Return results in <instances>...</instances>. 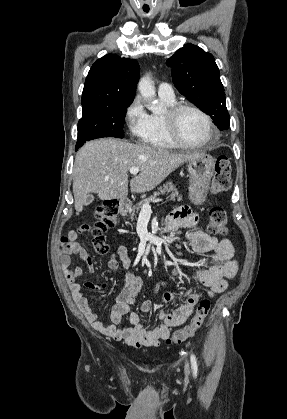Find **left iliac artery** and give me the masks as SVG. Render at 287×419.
<instances>
[{
  "instance_id": "obj_1",
  "label": "left iliac artery",
  "mask_w": 287,
  "mask_h": 419,
  "mask_svg": "<svg viewBox=\"0 0 287 419\" xmlns=\"http://www.w3.org/2000/svg\"><path fill=\"white\" fill-rule=\"evenodd\" d=\"M191 367L193 370V375L197 376L198 366H197V359L194 354H191Z\"/></svg>"
}]
</instances>
